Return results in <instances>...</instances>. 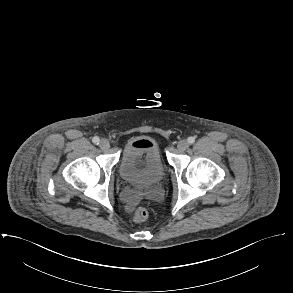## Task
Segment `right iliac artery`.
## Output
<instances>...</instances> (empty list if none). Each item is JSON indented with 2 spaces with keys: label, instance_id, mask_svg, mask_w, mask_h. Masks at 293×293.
Listing matches in <instances>:
<instances>
[{
  "label": "right iliac artery",
  "instance_id": "right-iliac-artery-1",
  "mask_svg": "<svg viewBox=\"0 0 293 293\" xmlns=\"http://www.w3.org/2000/svg\"><path fill=\"white\" fill-rule=\"evenodd\" d=\"M92 141H93V143H95V144H99V138L96 136V137H93V139H92Z\"/></svg>",
  "mask_w": 293,
  "mask_h": 293
}]
</instances>
